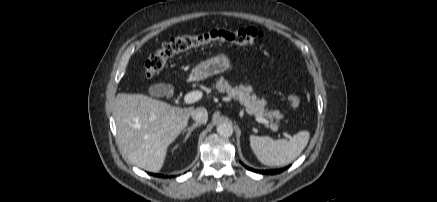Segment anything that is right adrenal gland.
<instances>
[{"instance_id": "2a0ac1e0", "label": "right adrenal gland", "mask_w": 437, "mask_h": 202, "mask_svg": "<svg viewBox=\"0 0 437 202\" xmlns=\"http://www.w3.org/2000/svg\"><path fill=\"white\" fill-rule=\"evenodd\" d=\"M200 125H201L200 123H194L191 127H188V128H187V134H186V136H185L183 142H185V141L189 138V136L191 135L192 131H193L196 127H198V126H200ZM185 131H186V130H185Z\"/></svg>"}]
</instances>
